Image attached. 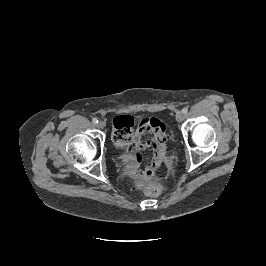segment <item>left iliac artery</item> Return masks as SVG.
Returning <instances> with one entry per match:
<instances>
[{
    "instance_id": "obj_1",
    "label": "left iliac artery",
    "mask_w": 266,
    "mask_h": 266,
    "mask_svg": "<svg viewBox=\"0 0 266 266\" xmlns=\"http://www.w3.org/2000/svg\"><path fill=\"white\" fill-rule=\"evenodd\" d=\"M187 112H188V109H187V108H183V109H182V113H183V114H186Z\"/></svg>"
}]
</instances>
